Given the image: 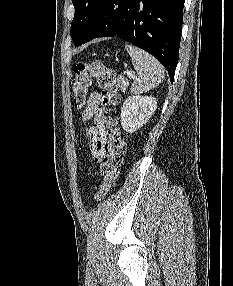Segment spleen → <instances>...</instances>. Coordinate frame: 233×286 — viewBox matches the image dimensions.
<instances>
[{"label": "spleen", "instance_id": "obj_1", "mask_svg": "<svg viewBox=\"0 0 233 286\" xmlns=\"http://www.w3.org/2000/svg\"><path fill=\"white\" fill-rule=\"evenodd\" d=\"M137 76L131 86V92L141 94L155 88L164 79V68L161 63L146 51L133 46H125Z\"/></svg>", "mask_w": 233, "mask_h": 286}]
</instances>
